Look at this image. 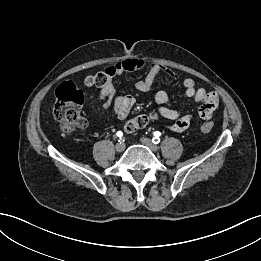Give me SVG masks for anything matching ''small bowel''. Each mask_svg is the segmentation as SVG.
<instances>
[{
  "label": "small bowel",
  "instance_id": "1",
  "mask_svg": "<svg viewBox=\"0 0 261 261\" xmlns=\"http://www.w3.org/2000/svg\"><path fill=\"white\" fill-rule=\"evenodd\" d=\"M144 67L143 60L139 58H128L122 60L112 66L107 67L103 74L106 77V82L100 87L99 96L105 100L104 107L112 108L113 114L118 119H124L130 113L132 107L135 104V98L132 95H115L114 78L124 73L139 72ZM160 74L167 75L171 78L178 79L179 75L170 71L161 64L154 63L149 65L147 73L144 78L138 80L135 84V88L140 92H148L152 89L155 79ZM94 76H88L84 80V84L87 87L94 86ZM181 84L184 88V93L187 98L194 99L197 102H202L198 110V115L204 120H209L213 117V114L218 105V96L213 91H206L204 88L196 87L195 81L191 78H183ZM155 103L158 106L159 114L167 119L173 121L168 125V128L177 133L184 132L191 125L194 117L191 113L181 115V113L175 109L167 106L169 103V95L165 91H158L154 97Z\"/></svg>",
  "mask_w": 261,
  "mask_h": 261
}]
</instances>
